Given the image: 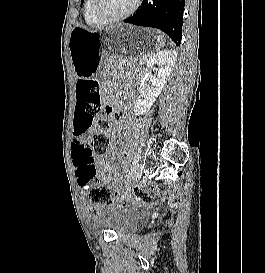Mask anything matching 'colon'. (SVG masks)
<instances>
[{
    "label": "colon",
    "mask_w": 265,
    "mask_h": 273,
    "mask_svg": "<svg viewBox=\"0 0 265 273\" xmlns=\"http://www.w3.org/2000/svg\"><path fill=\"white\" fill-rule=\"evenodd\" d=\"M77 105H75L71 125L76 139H83L86 133L95 127L85 150V157L92 159L106 153L109 146V138L105 131L108 128V116L110 111L104 106L99 92V85L92 79H79L76 87ZM95 169L83 170L80 173L79 186L88 193V198L93 204H109L111 202V188L105 183L93 182ZM136 198L141 201H149L147 193L139 190Z\"/></svg>",
    "instance_id": "colon-1"
}]
</instances>
